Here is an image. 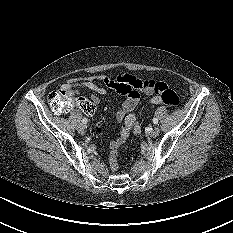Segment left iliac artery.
Here are the masks:
<instances>
[{
    "label": "left iliac artery",
    "instance_id": "1",
    "mask_svg": "<svg viewBox=\"0 0 233 233\" xmlns=\"http://www.w3.org/2000/svg\"><path fill=\"white\" fill-rule=\"evenodd\" d=\"M153 123L157 124L158 123V119L157 118H153Z\"/></svg>",
    "mask_w": 233,
    "mask_h": 233
}]
</instances>
